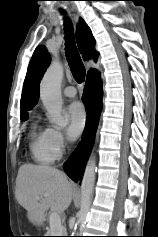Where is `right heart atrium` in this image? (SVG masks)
<instances>
[{
  "instance_id": "d8ad5b80",
  "label": "right heart atrium",
  "mask_w": 158,
  "mask_h": 237,
  "mask_svg": "<svg viewBox=\"0 0 158 237\" xmlns=\"http://www.w3.org/2000/svg\"><path fill=\"white\" fill-rule=\"evenodd\" d=\"M48 141L52 153L60 157L65 150L66 142L63 133L56 128H48Z\"/></svg>"
}]
</instances>
